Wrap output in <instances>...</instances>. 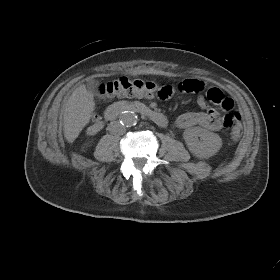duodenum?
Instances as JSON below:
<instances>
[{
    "mask_svg": "<svg viewBox=\"0 0 280 280\" xmlns=\"http://www.w3.org/2000/svg\"><path fill=\"white\" fill-rule=\"evenodd\" d=\"M126 111H134L140 114H143L144 116L148 117L151 119L153 122H155L157 125L164 127L167 125L168 120L166 116L152 108H149L142 103L139 102H133V103H116L114 105L109 106L105 110V118L107 120H114L116 119L119 115Z\"/></svg>",
    "mask_w": 280,
    "mask_h": 280,
    "instance_id": "obj_1",
    "label": "duodenum"
}]
</instances>
